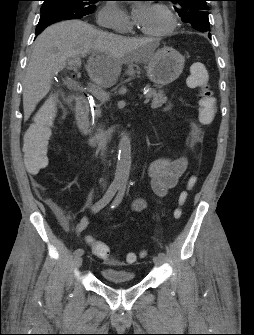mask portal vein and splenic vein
<instances>
[{
  "mask_svg": "<svg viewBox=\"0 0 254 335\" xmlns=\"http://www.w3.org/2000/svg\"><path fill=\"white\" fill-rule=\"evenodd\" d=\"M70 65H73L77 68H79L81 66V57L80 56H76L74 59L70 60L69 61ZM88 91L93 95L95 96L97 99L105 102V101H108L110 96L107 92L99 89L97 86L93 85V84H89V87H88ZM150 101L149 98H146L144 100V104H148Z\"/></svg>",
  "mask_w": 254,
  "mask_h": 335,
  "instance_id": "18ae733b",
  "label": "portal vein and splenic vein"
}]
</instances>
